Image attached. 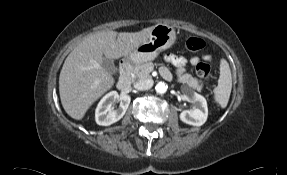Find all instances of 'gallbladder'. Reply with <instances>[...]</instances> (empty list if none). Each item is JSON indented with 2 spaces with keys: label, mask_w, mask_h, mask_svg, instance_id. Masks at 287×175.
Listing matches in <instances>:
<instances>
[{
  "label": "gallbladder",
  "mask_w": 287,
  "mask_h": 175,
  "mask_svg": "<svg viewBox=\"0 0 287 175\" xmlns=\"http://www.w3.org/2000/svg\"><path fill=\"white\" fill-rule=\"evenodd\" d=\"M102 66L107 72L109 73L114 72V63L111 59L103 57Z\"/></svg>",
  "instance_id": "bac80fb5"
}]
</instances>
